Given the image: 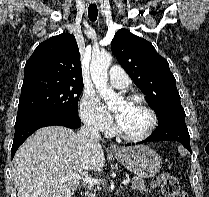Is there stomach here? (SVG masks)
<instances>
[{"label": "stomach", "mask_w": 209, "mask_h": 197, "mask_svg": "<svg viewBox=\"0 0 209 197\" xmlns=\"http://www.w3.org/2000/svg\"><path fill=\"white\" fill-rule=\"evenodd\" d=\"M115 158L128 170L142 178H150L160 172L162 160L149 146L139 145L123 149Z\"/></svg>", "instance_id": "obj_1"}]
</instances>
